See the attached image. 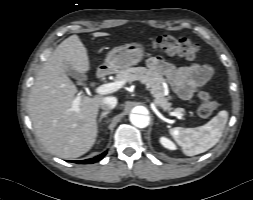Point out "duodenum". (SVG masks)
<instances>
[{
    "instance_id": "obj_1",
    "label": "duodenum",
    "mask_w": 253,
    "mask_h": 200,
    "mask_svg": "<svg viewBox=\"0 0 253 200\" xmlns=\"http://www.w3.org/2000/svg\"><path fill=\"white\" fill-rule=\"evenodd\" d=\"M109 73V69L106 67H102L100 68L97 73L96 76L98 79H102L103 77H105L107 74Z\"/></svg>"
}]
</instances>
